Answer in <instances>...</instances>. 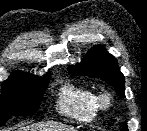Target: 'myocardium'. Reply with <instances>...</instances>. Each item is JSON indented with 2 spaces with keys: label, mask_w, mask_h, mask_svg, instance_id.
Returning a JSON list of instances; mask_svg holds the SVG:
<instances>
[{
  "label": "myocardium",
  "mask_w": 147,
  "mask_h": 131,
  "mask_svg": "<svg viewBox=\"0 0 147 131\" xmlns=\"http://www.w3.org/2000/svg\"><path fill=\"white\" fill-rule=\"evenodd\" d=\"M113 97L108 91H102L97 94V104L99 109H107L111 106Z\"/></svg>",
  "instance_id": "myocardium-1"
}]
</instances>
